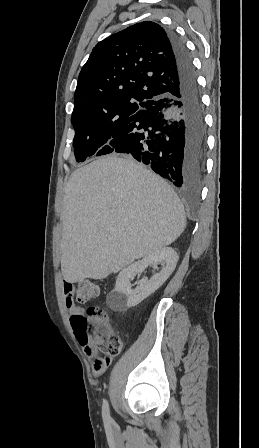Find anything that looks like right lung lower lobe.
<instances>
[{
    "label": "right lung lower lobe",
    "mask_w": 259,
    "mask_h": 448,
    "mask_svg": "<svg viewBox=\"0 0 259 448\" xmlns=\"http://www.w3.org/2000/svg\"><path fill=\"white\" fill-rule=\"evenodd\" d=\"M177 89L148 105L110 141V153H125L149 165L177 187L198 186L205 168L206 126L191 58L171 29Z\"/></svg>",
    "instance_id": "obj_1"
}]
</instances>
